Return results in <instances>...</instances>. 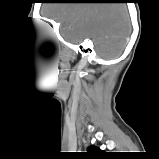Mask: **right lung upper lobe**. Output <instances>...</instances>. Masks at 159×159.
Instances as JSON below:
<instances>
[{
    "label": "right lung upper lobe",
    "instance_id": "cb5924a9",
    "mask_svg": "<svg viewBox=\"0 0 159 159\" xmlns=\"http://www.w3.org/2000/svg\"><path fill=\"white\" fill-rule=\"evenodd\" d=\"M98 151L99 150L96 147H93V146L88 148V152L92 153V154H96Z\"/></svg>",
    "mask_w": 159,
    "mask_h": 159
}]
</instances>
